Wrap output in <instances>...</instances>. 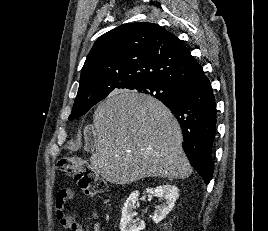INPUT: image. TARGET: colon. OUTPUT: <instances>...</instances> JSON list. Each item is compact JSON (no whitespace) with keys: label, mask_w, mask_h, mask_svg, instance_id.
<instances>
[{"label":"colon","mask_w":268,"mask_h":231,"mask_svg":"<svg viewBox=\"0 0 268 231\" xmlns=\"http://www.w3.org/2000/svg\"><path fill=\"white\" fill-rule=\"evenodd\" d=\"M58 168L60 171L74 177L88 196L96 197L105 193L107 188L106 183L91 168L86 159L76 156H66L60 159ZM61 194L67 196L68 192L63 191Z\"/></svg>","instance_id":"colon-1"}]
</instances>
